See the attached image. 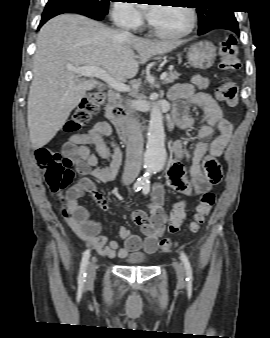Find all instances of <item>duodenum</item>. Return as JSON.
<instances>
[{
  "instance_id": "410a0bca",
  "label": "duodenum",
  "mask_w": 270,
  "mask_h": 338,
  "mask_svg": "<svg viewBox=\"0 0 270 338\" xmlns=\"http://www.w3.org/2000/svg\"><path fill=\"white\" fill-rule=\"evenodd\" d=\"M125 110L120 104V98L117 93L110 92L108 95V102L105 107L106 118L113 123V125L119 130V134L124 138V122ZM168 127L172 128L171 121L168 122Z\"/></svg>"
}]
</instances>
